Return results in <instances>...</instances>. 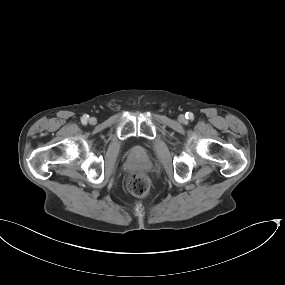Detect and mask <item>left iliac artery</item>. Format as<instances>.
<instances>
[{
    "mask_svg": "<svg viewBox=\"0 0 285 285\" xmlns=\"http://www.w3.org/2000/svg\"><path fill=\"white\" fill-rule=\"evenodd\" d=\"M185 117H186V119H188V120H193L194 115H193L192 112H187V113L185 114Z\"/></svg>",
    "mask_w": 285,
    "mask_h": 285,
    "instance_id": "44dca946",
    "label": "left iliac artery"
}]
</instances>
